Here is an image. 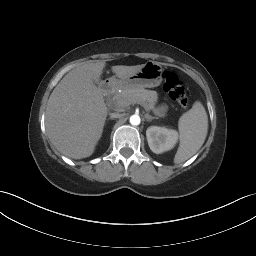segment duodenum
<instances>
[{"instance_id":"duodenum-1","label":"duodenum","mask_w":256,"mask_h":256,"mask_svg":"<svg viewBox=\"0 0 256 256\" xmlns=\"http://www.w3.org/2000/svg\"><path fill=\"white\" fill-rule=\"evenodd\" d=\"M115 88V82L111 81V80H108V81H105L103 82L99 89H100V92L103 94V95H106L110 92H112Z\"/></svg>"}]
</instances>
